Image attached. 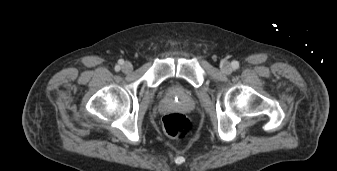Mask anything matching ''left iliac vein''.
<instances>
[{
    "instance_id": "left-iliac-vein-1",
    "label": "left iliac vein",
    "mask_w": 337,
    "mask_h": 171,
    "mask_svg": "<svg viewBox=\"0 0 337 171\" xmlns=\"http://www.w3.org/2000/svg\"><path fill=\"white\" fill-rule=\"evenodd\" d=\"M221 70L226 73V74H229L232 72V66L229 62L227 61H224L222 64H221Z\"/></svg>"
}]
</instances>
